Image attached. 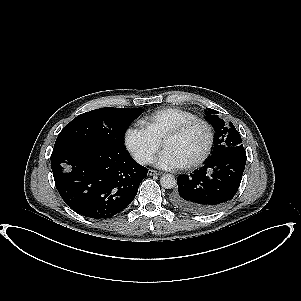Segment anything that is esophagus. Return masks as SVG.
Listing matches in <instances>:
<instances>
[{
    "instance_id": "esophagus-1",
    "label": "esophagus",
    "mask_w": 301,
    "mask_h": 301,
    "mask_svg": "<svg viewBox=\"0 0 301 301\" xmlns=\"http://www.w3.org/2000/svg\"><path fill=\"white\" fill-rule=\"evenodd\" d=\"M148 174H149L150 176H153V175H160V172L155 171V170H152V169H149V170H148Z\"/></svg>"
}]
</instances>
